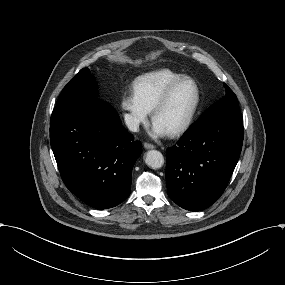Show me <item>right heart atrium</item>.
I'll return each instance as SVG.
<instances>
[{
    "label": "right heart atrium",
    "mask_w": 285,
    "mask_h": 285,
    "mask_svg": "<svg viewBox=\"0 0 285 285\" xmlns=\"http://www.w3.org/2000/svg\"><path fill=\"white\" fill-rule=\"evenodd\" d=\"M120 105L131 128L136 129L147 123L151 113L137 95L135 86L129 87L123 93Z\"/></svg>",
    "instance_id": "d8ad5b80"
}]
</instances>
